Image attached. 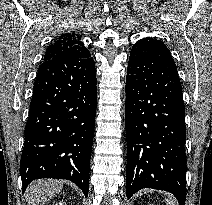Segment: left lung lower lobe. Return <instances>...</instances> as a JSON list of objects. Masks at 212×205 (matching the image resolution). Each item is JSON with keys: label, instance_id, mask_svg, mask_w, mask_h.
Instances as JSON below:
<instances>
[{"label": "left lung lower lobe", "instance_id": "1", "mask_svg": "<svg viewBox=\"0 0 212 205\" xmlns=\"http://www.w3.org/2000/svg\"><path fill=\"white\" fill-rule=\"evenodd\" d=\"M126 195L143 188L186 198L185 106L177 67L160 40L131 50L126 77Z\"/></svg>", "mask_w": 212, "mask_h": 205}]
</instances>
